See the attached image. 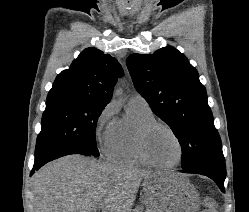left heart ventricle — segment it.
Wrapping results in <instances>:
<instances>
[{
  "label": "left heart ventricle",
  "instance_id": "1",
  "mask_svg": "<svg viewBox=\"0 0 249 212\" xmlns=\"http://www.w3.org/2000/svg\"><path fill=\"white\" fill-rule=\"evenodd\" d=\"M148 151L152 159L159 164H174L179 158L176 140L162 129L154 130L149 136Z\"/></svg>",
  "mask_w": 249,
  "mask_h": 212
}]
</instances>
